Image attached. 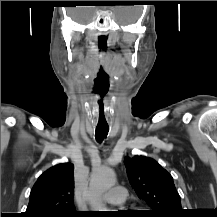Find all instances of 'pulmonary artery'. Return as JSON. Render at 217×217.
Returning a JSON list of instances; mask_svg holds the SVG:
<instances>
[{"instance_id":"pulmonary-artery-1","label":"pulmonary artery","mask_w":217,"mask_h":217,"mask_svg":"<svg viewBox=\"0 0 217 217\" xmlns=\"http://www.w3.org/2000/svg\"><path fill=\"white\" fill-rule=\"evenodd\" d=\"M127 191L122 186L113 187L108 193L104 194L102 200L110 205H122L126 202Z\"/></svg>"}]
</instances>
